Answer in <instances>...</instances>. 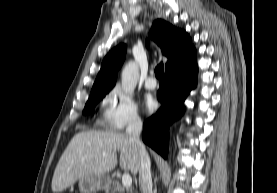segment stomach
Wrapping results in <instances>:
<instances>
[{
  "instance_id": "obj_1",
  "label": "stomach",
  "mask_w": 277,
  "mask_h": 193,
  "mask_svg": "<svg viewBox=\"0 0 277 193\" xmlns=\"http://www.w3.org/2000/svg\"><path fill=\"white\" fill-rule=\"evenodd\" d=\"M110 178L108 175L88 176L79 179V189L81 193H96L100 190H108Z\"/></svg>"
}]
</instances>
